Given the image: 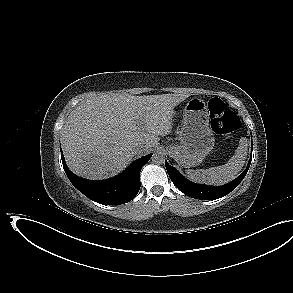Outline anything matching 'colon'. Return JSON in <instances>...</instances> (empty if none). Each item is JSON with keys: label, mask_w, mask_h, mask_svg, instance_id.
<instances>
[{"label": "colon", "mask_w": 293, "mask_h": 293, "mask_svg": "<svg viewBox=\"0 0 293 293\" xmlns=\"http://www.w3.org/2000/svg\"><path fill=\"white\" fill-rule=\"evenodd\" d=\"M213 130L224 136H230L240 127V119L236 113L227 108L219 98H212L208 102Z\"/></svg>", "instance_id": "colon-1"}]
</instances>
